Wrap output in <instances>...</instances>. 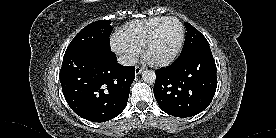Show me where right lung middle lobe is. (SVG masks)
Instances as JSON below:
<instances>
[{
  "label": "right lung middle lobe",
  "instance_id": "1",
  "mask_svg": "<svg viewBox=\"0 0 276 138\" xmlns=\"http://www.w3.org/2000/svg\"><path fill=\"white\" fill-rule=\"evenodd\" d=\"M110 20L95 21L84 27L71 41L65 53L84 47L110 48L113 27Z\"/></svg>",
  "mask_w": 276,
  "mask_h": 138
}]
</instances>
